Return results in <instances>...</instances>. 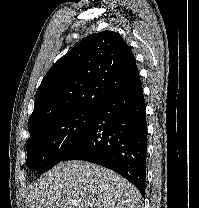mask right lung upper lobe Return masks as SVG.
I'll return each instance as SVG.
<instances>
[{
    "instance_id": "obj_1",
    "label": "right lung upper lobe",
    "mask_w": 199,
    "mask_h": 208,
    "mask_svg": "<svg viewBox=\"0 0 199 208\" xmlns=\"http://www.w3.org/2000/svg\"><path fill=\"white\" fill-rule=\"evenodd\" d=\"M139 79L135 58L113 31L92 34L60 58L44 76L35 96L29 130L81 107H96L106 97Z\"/></svg>"
}]
</instances>
